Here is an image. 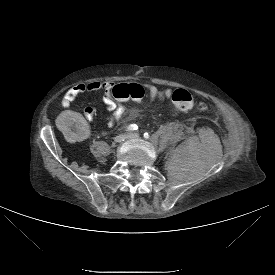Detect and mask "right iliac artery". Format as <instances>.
<instances>
[{
	"mask_svg": "<svg viewBox=\"0 0 275 275\" xmlns=\"http://www.w3.org/2000/svg\"><path fill=\"white\" fill-rule=\"evenodd\" d=\"M138 129V126L135 124H131L129 125V127H127L126 131H135Z\"/></svg>",
	"mask_w": 275,
	"mask_h": 275,
	"instance_id": "82829eb1",
	"label": "right iliac artery"
}]
</instances>
